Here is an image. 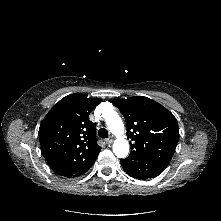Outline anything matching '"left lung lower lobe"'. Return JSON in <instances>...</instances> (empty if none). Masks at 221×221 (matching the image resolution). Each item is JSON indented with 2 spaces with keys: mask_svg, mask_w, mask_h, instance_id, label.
Segmentation results:
<instances>
[{
  "mask_svg": "<svg viewBox=\"0 0 221 221\" xmlns=\"http://www.w3.org/2000/svg\"><path fill=\"white\" fill-rule=\"evenodd\" d=\"M121 165L124 171L133 178L145 180L161 174L168 164L163 162H143L134 159H121Z\"/></svg>",
  "mask_w": 221,
  "mask_h": 221,
  "instance_id": "1",
  "label": "left lung lower lobe"
}]
</instances>
